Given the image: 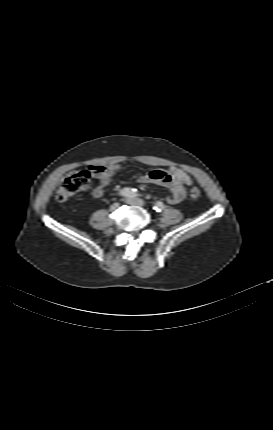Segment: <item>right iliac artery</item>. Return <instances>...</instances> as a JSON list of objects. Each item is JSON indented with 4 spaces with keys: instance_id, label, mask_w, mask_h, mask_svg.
<instances>
[{
    "instance_id": "obj_1",
    "label": "right iliac artery",
    "mask_w": 273,
    "mask_h": 430,
    "mask_svg": "<svg viewBox=\"0 0 273 430\" xmlns=\"http://www.w3.org/2000/svg\"><path fill=\"white\" fill-rule=\"evenodd\" d=\"M118 195L125 198H134L138 195V192L137 189L125 187L119 191Z\"/></svg>"
}]
</instances>
